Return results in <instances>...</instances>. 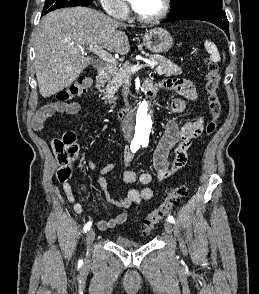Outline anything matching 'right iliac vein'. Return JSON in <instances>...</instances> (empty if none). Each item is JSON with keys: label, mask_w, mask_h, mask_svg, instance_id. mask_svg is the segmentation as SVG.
<instances>
[{"label": "right iliac vein", "mask_w": 259, "mask_h": 294, "mask_svg": "<svg viewBox=\"0 0 259 294\" xmlns=\"http://www.w3.org/2000/svg\"><path fill=\"white\" fill-rule=\"evenodd\" d=\"M94 238H95V232L93 229H91L90 231H88L86 235V244H87L88 251L90 250V247L93 243Z\"/></svg>", "instance_id": "obj_1"}]
</instances>
